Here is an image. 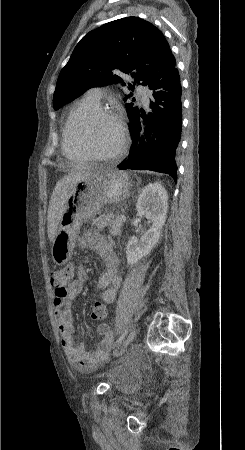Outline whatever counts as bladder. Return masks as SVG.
I'll list each match as a JSON object with an SVG mask.
<instances>
[{
  "instance_id": "bladder-1",
  "label": "bladder",
  "mask_w": 245,
  "mask_h": 450,
  "mask_svg": "<svg viewBox=\"0 0 245 450\" xmlns=\"http://www.w3.org/2000/svg\"><path fill=\"white\" fill-rule=\"evenodd\" d=\"M104 375L109 385L120 391L129 388L137 378L132 368L122 364L112 368Z\"/></svg>"
}]
</instances>
